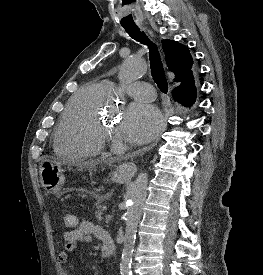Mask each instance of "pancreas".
I'll use <instances>...</instances> for the list:
<instances>
[{"mask_svg": "<svg viewBox=\"0 0 263 275\" xmlns=\"http://www.w3.org/2000/svg\"><path fill=\"white\" fill-rule=\"evenodd\" d=\"M96 198V206L97 210L95 211V217L97 220H102L103 211L105 210V205L103 202L105 201L106 197L100 194H94Z\"/></svg>", "mask_w": 263, "mask_h": 275, "instance_id": "pancreas-1", "label": "pancreas"}]
</instances>
